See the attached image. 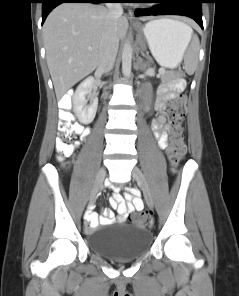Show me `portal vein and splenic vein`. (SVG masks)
<instances>
[{"instance_id":"18ae733b","label":"portal vein and splenic vein","mask_w":239,"mask_h":296,"mask_svg":"<svg viewBox=\"0 0 239 296\" xmlns=\"http://www.w3.org/2000/svg\"><path fill=\"white\" fill-rule=\"evenodd\" d=\"M88 49H89V50H92V47H89Z\"/></svg>"}]
</instances>
